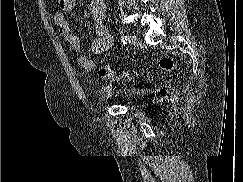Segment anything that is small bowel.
Returning <instances> with one entry per match:
<instances>
[{
	"mask_svg": "<svg viewBox=\"0 0 243 182\" xmlns=\"http://www.w3.org/2000/svg\"><path fill=\"white\" fill-rule=\"evenodd\" d=\"M77 6V0H60V10L54 15V21L58 27L60 36L75 52L81 51L80 38L74 34L70 26V18L73 16ZM105 0H91L89 12L94 22V37L91 42V51L95 55H102L113 44V37L109 29L103 24L105 14ZM78 65L85 71L96 69L95 62L87 55L79 53L77 56Z\"/></svg>",
	"mask_w": 243,
	"mask_h": 182,
	"instance_id": "small-bowel-1",
	"label": "small bowel"
}]
</instances>
